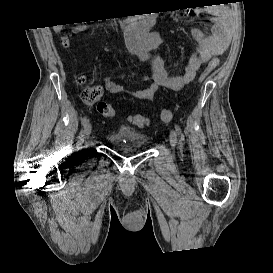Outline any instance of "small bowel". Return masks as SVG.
I'll return each mask as SVG.
<instances>
[{"instance_id": "1", "label": "small bowel", "mask_w": 273, "mask_h": 273, "mask_svg": "<svg viewBox=\"0 0 273 273\" xmlns=\"http://www.w3.org/2000/svg\"><path fill=\"white\" fill-rule=\"evenodd\" d=\"M204 12L208 17V27L211 34L203 29H193L192 35L196 40L195 52L186 61L183 72L175 73L168 69L157 57L151 55V51L161 46L165 39L160 35L148 37V41H141L135 34H130L128 40L129 50L137 54L149 65L152 84L144 89L129 91L119 83L104 78L106 90L111 94H126L139 100H152L160 87L178 91L190 83L196 75L201 63L210 61L215 56H221L228 49L233 23L229 12L221 6L207 7L204 11L197 10L196 14Z\"/></svg>"}]
</instances>
